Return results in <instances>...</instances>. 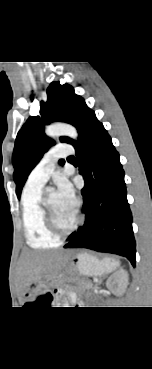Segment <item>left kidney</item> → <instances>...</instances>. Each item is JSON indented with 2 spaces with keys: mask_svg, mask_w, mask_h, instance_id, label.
Masks as SVG:
<instances>
[{
  "mask_svg": "<svg viewBox=\"0 0 152 369\" xmlns=\"http://www.w3.org/2000/svg\"><path fill=\"white\" fill-rule=\"evenodd\" d=\"M128 284L129 276L127 271L123 269L113 273L106 281V287L118 296H121L125 293Z\"/></svg>",
  "mask_w": 152,
  "mask_h": 369,
  "instance_id": "obj_1",
  "label": "left kidney"
}]
</instances>
